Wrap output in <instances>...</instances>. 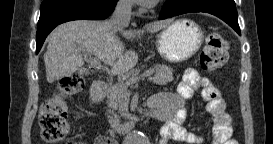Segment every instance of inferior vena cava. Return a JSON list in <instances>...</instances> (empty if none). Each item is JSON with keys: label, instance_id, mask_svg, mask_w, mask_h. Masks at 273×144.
<instances>
[{"label": "inferior vena cava", "instance_id": "obj_1", "mask_svg": "<svg viewBox=\"0 0 273 144\" xmlns=\"http://www.w3.org/2000/svg\"><path fill=\"white\" fill-rule=\"evenodd\" d=\"M131 0H119L111 16L109 24L113 31L127 27L131 19Z\"/></svg>", "mask_w": 273, "mask_h": 144}]
</instances>
